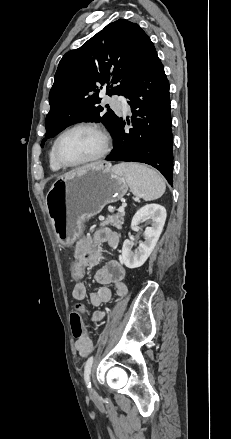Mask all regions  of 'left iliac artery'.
Returning <instances> with one entry per match:
<instances>
[{
    "label": "left iliac artery",
    "instance_id": "obj_1",
    "mask_svg": "<svg viewBox=\"0 0 231 439\" xmlns=\"http://www.w3.org/2000/svg\"><path fill=\"white\" fill-rule=\"evenodd\" d=\"M93 356L89 357L84 367V380L88 388L91 387L90 373L93 364Z\"/></svg>",
    "mask_w": 231,
    "mask_h": 439
}]
</instances>
